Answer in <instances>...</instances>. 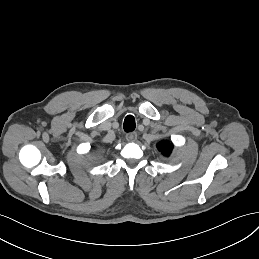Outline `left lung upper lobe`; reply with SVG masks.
I'll list each match as a JSON object with an SVG mask.
<instances>
[{
	"mask_svg": "<svg viewBox=\"0 0 259 259\" xmlns=\"http://www.w3.org/2000/svg\"><path fill=\"white\" fill-rule=\"evenodd\" d=\"M156 147L158 151L165 157H169L173 150V144L167 140L158 142Z\"/></svg>",
	"mask_w": 259,
	"mask_h": 259,
	"instance_id": "obj_1",
	"label": "left lung upper lobe"
}]
</instances>
